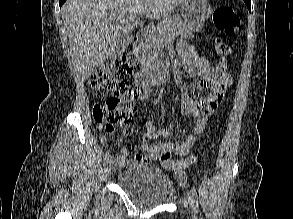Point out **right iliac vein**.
Masks as SVG:
<instances>
[{
  "instance_id": "obj_1",
  "label": "right iliac vein",
  "mask_w": 293,
  "mask_h": 219,
  "mask_svg": "<svg viewBox=\"0 0 293 219\" xmlns=\"http://www.w3.org/2000/svg\"><path fill=\"white\" fill-rule=\"evenodd\" d=\"M114 170V163L112 161H110L107 165V173L111 174Z\"/></svg>"
}]
</instances>
